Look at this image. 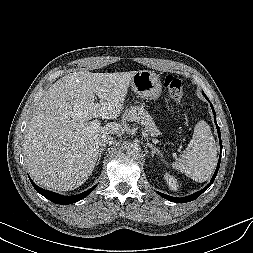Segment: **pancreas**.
Instances as JSON below:
<instances>
[{
  "label": "pancreas",
  "instance_id": "cf45deb5",
  "mask_svg": "<svg viewBox=\"0 0 253 253\" xmlns=\"http://www.w3.org/2000/svg\"><path fill=\"white\" fill-rule=\"evenodd\" d=\"M122 120L128 122L140 121L145 127V131L151 136L157 137L160 135V131L157 129L152 117L142 105L131 106L130 108L126 109L122 116Z\"/></svg>",
  "mask_w": 253,
  "mask_h": 253
}]
</instances>
